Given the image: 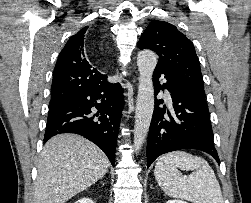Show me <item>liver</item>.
Returning a JSON list of instances; mask_svg holds the SVG:
<instances>
[{"label": "liver", "mask_w": 251, "mask_h": 203, "mask_svg": "<svg viewBox=\"0 0 251 203\" xmlns=\"http://www.w3.org/2000/svg\"><path fill=\"white\" fill-rule=\"evenodd\" d=\"M108 167L106 155L89 140L54 136L41 152L34 203H65L101 179Z\"/></svg>", "instance_id": "liver-1"}]
</instances>
